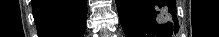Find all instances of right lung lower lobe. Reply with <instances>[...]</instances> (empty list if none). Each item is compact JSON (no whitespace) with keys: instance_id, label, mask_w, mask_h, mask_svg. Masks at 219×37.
<instances>
[{"instance_id":"right-lung-lower-lobe-1","label":"right lung lower lobe","mask_w":219,"mask_h":37,"mask_svg":"<svg viewBox=\"0 0 219 37\" xmlns=\"http://www.w3.org/2000/svg\"><path fill=\"white\" fill-rule=\"evenodd\" d=\"M33 15L40 37H82L86 0H32Z\"/></svg>"}]
</instances>
